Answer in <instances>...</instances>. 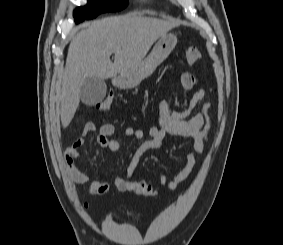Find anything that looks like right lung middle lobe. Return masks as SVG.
Instances as JSON below:
<instances>
[{
	"label": "right lung middle lobe",
	"instance_id": "right-lung-middle-lobe-1",
	"mask_svg": "<svg viewBox=\"0 0 283 245\" xmlns=\"http://www.w3.org/2000/svg\"><path fill=\"white\" fill-rule=\"evenodd\" d=\"M128 0H88L86 7L74 11L75 22L92 19L104 12L120 11L127 6Z\"/></svg>",
	"mask_w": 283,
	"mask_h": 245
}]
</instances>
